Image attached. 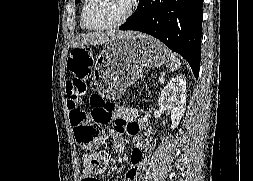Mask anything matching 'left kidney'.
Segmentation results:
<instances>
[{"label":"left kidney","instance_id":"obj_1","mask_svg":"<svg viewBox=\"0 0 253 181\" xmlns=\"http://www.w3.org/2000/svg\"><path fill=\"white\" fill-rule=\"evenodd\" d=\"M186 81L182 76L172 78L161 91L159 97V106L163 110H169L171 113V128H176L186 108Z\"/></svg>","mask_w":253,"mask_h":181}]
</instances>
